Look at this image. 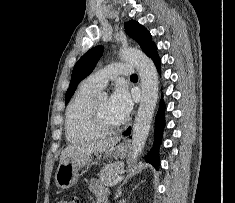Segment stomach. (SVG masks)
Masks as SVG:
<instances>
[{"label": "stomach", "instance_id": "stomach-1", "mask_svg": "<svg viewBox=\"0 0 235 203\" xmlns=\"http://www.w3.org/2000/svg\"><path fill=\"white\" fill-rule=\"evenodd\" d=\"M128 151L126 144L122 143L105 152V156L123 158ZM92 161L91 155H76L67 157L61 162L55 174L56 185L61 189L74 186L80 177V170Z\"/></svg>", "mask_w": 235, "mask_h": 203}]
</instances>
